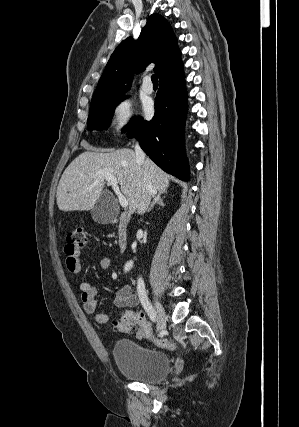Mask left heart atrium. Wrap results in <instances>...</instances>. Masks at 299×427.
Masks as SVG:
<instances>
[{"instance_id":"left-heart-atrium-1","label":"left heart atrium","mask_w":299,"mask_h":427,"mask_svg":"<svg viewBox=\"0 0 299 427\" xmlns=\"http://www.w3.org/2000/svg\"><path fill=\"white\" fill-rule=\"evenodd\" d=\"M145 111H146L147 113H150V112L152 111V105H151V104L146 105V107H145Z\"/></svg>"}]
</instances>
